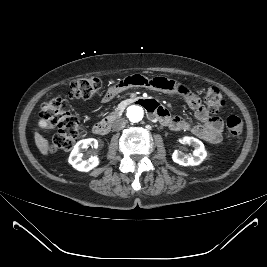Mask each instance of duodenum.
Returning a JSON list of instances; mask_svg holds the SVG:
<instances>
[{
  "label": "duodenum",
  "instance_id": "410a0bca",
  "mask_svg": "<svg viewBox=\"0 0 267 267\" xmlns=\"http://www.w3.org/2000/svg\"><path fill=\"white\" fill-rule=\"evenodd\" d=\"M132 102L142 104L144 107H146L150 111H155V115L157 114V106L152 100H138L134 99ZM120 115V111H116L111 116L107 117L106 119L97 122L93 126V132L97 135H105L107 134L112 126L113 121Z\"/></svg>",
  "mask_w": 267,
  "mask_h": 267
}]
</instances>
